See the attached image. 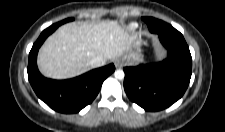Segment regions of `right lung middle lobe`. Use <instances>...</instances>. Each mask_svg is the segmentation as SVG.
<instances>
[{"label": "right lung middle lobe", "instance_id": "right-lung-middle-lobe-1", "mask_svg": "<svg viewBox=\"0 0 225 132\" xmlns=\"http://www.w3.org/2000/svg\"><path fill=\"white\" fill-rule=\"evenodd\" d=\"M72 20H73V18H67V19H65L63 21L58 22L57 24L58 25H61V24H64V23L69 22V21H72Z\"/></svg>", "mask_w": 225, "mask_h": 132}]
</instances>
